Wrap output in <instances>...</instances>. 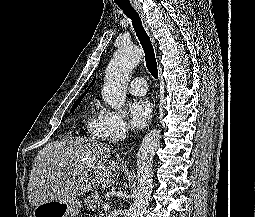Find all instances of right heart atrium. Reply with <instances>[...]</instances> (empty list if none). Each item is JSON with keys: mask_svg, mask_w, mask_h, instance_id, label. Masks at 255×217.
Segmentation results:
<instances>
[{"mask_svg": "<svg viewBox=\"0 0 255 217\" xmlns=\"http://www.w3.org/2000/svg\"><path fill=\"white\" fill-rule=\"evenodd\" d=\"M127 124L119 111L102 107L96 118L95 134L103 139L117 140L127 132Z\"/></svg>", "mask_w": 255, "mask_h": 217, "instance_id": "1", "label": "right heart atrium"}]
</instances>
